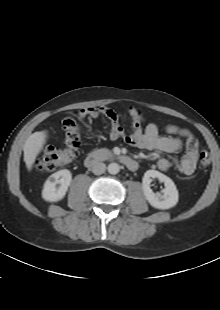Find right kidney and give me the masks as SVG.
Masks as SVG:
<instances>
[{"mask_svg":"<svg viewBox=\"0 0 220 310\" xmlns=\"http://www.w3.org/2000/svg\"><path fill=\"white\" fill-rule=\"evenodd\" d=\"M72 174L68 169L59 170L45 181L42 198L49 202H57L64 198L70 186Z\"/></svg>","mask_w":220,"mask_h":310,"instance_id":"right-kidney-1","label":"right kidney"}]
</instances>
